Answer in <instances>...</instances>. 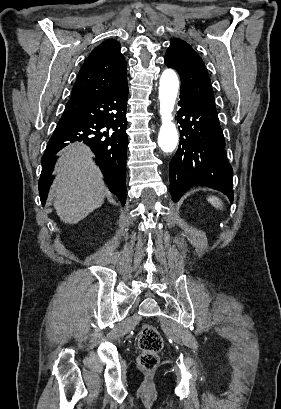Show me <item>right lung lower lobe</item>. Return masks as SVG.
<instances>
[{"label":"right lung lower lobe","mask_w":281,"mask_h":409,"mask_svg":"<svg viewBox=\"0 0 281 409\" xmlns=\"http://www.w3.org/2000/svg\"><path fill=\"white\" fill-rule=\"evenodd\" d=\"M127 99L128 84L125 82L102 96L68 101L41 160L39 192L43 205L49 189L47 183L56 162L53 156L68 145L64 142L74 140L83 141L91 147L110 191L117 195L122 205L125 204Z\"/></svg>","instance_id":"right-lung-lower-lobe-1"}]
</instances>
